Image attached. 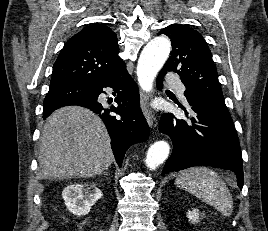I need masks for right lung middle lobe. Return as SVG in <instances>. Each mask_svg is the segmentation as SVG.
<instances>
[{"label": "right lung middle lobe", "mask_w": 268, "mask_h": 231, "mask_svg": "<svg viewBox=\"0 0 268 231\" xmlns=\"http://www.w3.org/2000/svg\"><path fill=\"white\" fill-rule=\"evenodd\" d=\"M89 95L90 88L87 86L69 83L50 85L44 104L54 101H71L86 98Z\"/></svg>", "instance_id": "dd1d6c3e"}]
</instances>
